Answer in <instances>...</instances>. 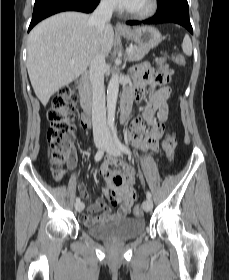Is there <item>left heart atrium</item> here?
<instances>
[{"label":"left heart atrium","instance_id":"obj_1","mask_svg":"<svg viewBox=\"0 0 229 280\" xmlns=\"http://www.w3.org/2000/svg\"><path fill=\"white\" fill-rule=\"evenodd\" d=\"M134 0H115V3L123 8H129Z\"/></svg>","mask_w":229,"mask_h":280}]
</instances>
